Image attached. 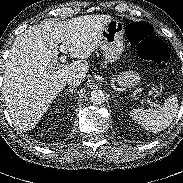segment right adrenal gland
<instances>
[{
  "label": "right adrenal gland",
  "mask_w": 183,
  "mask_h": 183,
  "mask_svg": "<svg viewBox=\"0 0 183 183\" xmlns=\"http://www.w3.org/2000/svg\"><path fill=\"white\" fill-rule=\"evenodd\" d=\"M68 93L67 94H74L75 93V91L77 90V88L75 87V86H69L68 87Z\"/></svg>",
  "instance_id": "right-adrenal-gland-1"
}]
</instances>
